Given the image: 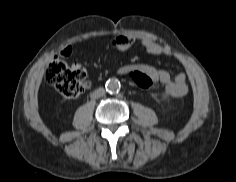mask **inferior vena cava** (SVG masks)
<instances>
[{"label":"inferior vena cava","instance_id":"inferior-vena-cava-1","mask_svg":"<svg viewBox=\"0 0 236 182\" xmlns=\"http://www.w3.org/2000/svg\"><path fill=\"white\" fill-rule=\"evenodd\" d=\"M104 94H105V89L102 88V87L96 89V90L93 92V96H94L95 98L101 97V96H103Z\"/></svg>","mask_w":236,"mask_h":182}]
</instances>
